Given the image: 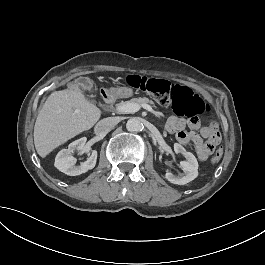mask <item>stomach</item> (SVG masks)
<instances>
[{
	"mask_svg": "<svg viewBox=\"0 0 265 265\" xmlns=\"http://www.w3.org/2000/svg\"><path fill=\"white\" fill-rule=\"evenodd\" d=\"M115 95L122 94L123 96H131L132 95V89L130 88H119L118 90L114 91Z\"/></svg>",
	"mask_w": 265,
	"mask_h": 265,
	"instance_id": "stomach-1",
	"label": "stomach"
}]
</instances>
